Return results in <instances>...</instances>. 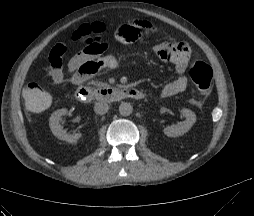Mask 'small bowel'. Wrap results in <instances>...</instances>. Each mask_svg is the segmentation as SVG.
I'll list each match as a JSON object with an SVG mask.
<instances>
[{"mask_svg":"<svg viewBox=\"0 0 254 216\" xmlns=\"http://www.w3.org/2000/svg\"><path fill=\"white\" fill-rule=\"evenodd\" d=\"M159 33L161 29L157 24L140 20L119 25L115 32V39L120 44H127ZM152 49L162 59L171 62L179 74L175 80L162 88L161 96L171 97L184 92L188 86L184 73L191 58L189 44L179 41L177 37L169 33H163L158 37L157 44H154ZM103 52L93 47H85L71 57L68 62L69 82L73 85H80L102 69H116L119 65L118 57L112 52ZM63 54L64 46L56 45L49 56V75L57 86L65 82Z\"/></svg>","mask_w":254,"mask_h":216,"instance_id":"c3829d8e","label":"small bowel"}]
</instances>
